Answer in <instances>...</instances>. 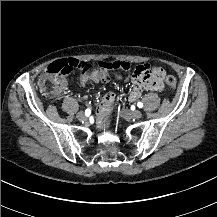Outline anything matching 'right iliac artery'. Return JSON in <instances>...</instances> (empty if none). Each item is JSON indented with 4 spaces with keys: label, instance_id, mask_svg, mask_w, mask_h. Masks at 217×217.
Masks as SVG:
<instances>
[{
    "label": "right iliac artery",
    "instance_id": "1",
    "mask_svg": "<svg viewBox=\"0 0 217 217\" xmlns=\"http://www.w3.org/2000/svg\"><path fill=\"white\" fill-rule=\"evenodd\" d=\"M91 114H92V113H91V110H90V109H86V110H85V115H86V116L89 117V116H91Z\"/></svg>",
    "mask_w": 217,
    "mask_h": 217
}]
</instances>
